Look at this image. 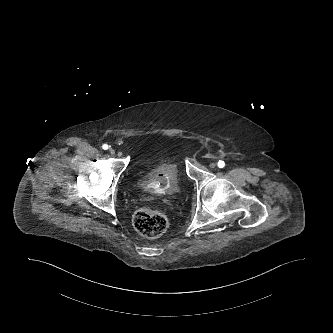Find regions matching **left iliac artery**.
I'll return each instance as SVG.
<instances>
[{
  "instance_id": "obj_1",
  "label": "left iliac artery",
  "mask_w": 333,
  "mask_h": 333,
  "mask_svg": "<svg viewBox=\"0 0 333 333\" xmlns=\"http://www.w3.org/2000/svg\"><path fill=\"white\" fill-rule=\"evenodd\" d=\"M217 165H218L219 168H223L225 166V162L222 161V160H219Z\"/></svg>"
}]
</instances>
